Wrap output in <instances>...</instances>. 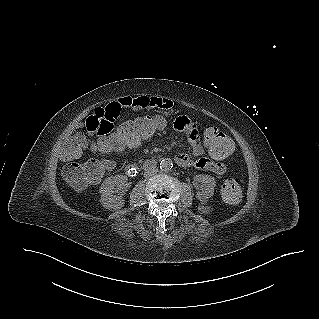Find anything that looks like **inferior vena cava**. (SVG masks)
<instances>
[{
	"instance_id": "602c4592",
	"label": "inferior vena cava",
	"mask_w": 319,
	"mask_h": 319,
	"mask_svg": "<svg viewBox=\"0 0 319 319\" xmlns=\"http://www.w3.org/2000/svg\"><path fill=\"white\" fill-rule=\"evenodd\" d=\"M157 172H158L157 168H155V167L154 168H150V169L145 171L144 177H150V176L156 174Z\"/></svg>"
}]
</instances>
